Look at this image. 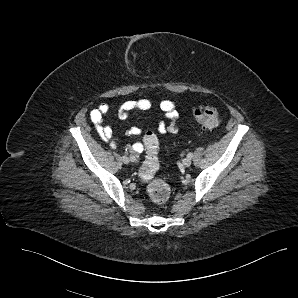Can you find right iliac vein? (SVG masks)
Returning a JSON list of instances; mask_svg holds the SVG:
<instances>
[{
    "label": "right iliac vein",
    "mask_w": 298,
    "mask_h": 298,
    "mask_svg": "<svg viewBox=\"0 0 298 298\" xmlns=\"http://www.w3.org/2000/svg\"><path fill=\"white\" fill-rule=\"evenodd\" d=\"M122 161H123L125 164H127V163H129L130 159H129L127 156H123V157H122Z\"/></svg>",
    "instance_id": "obj_1"
}]
</instances>
